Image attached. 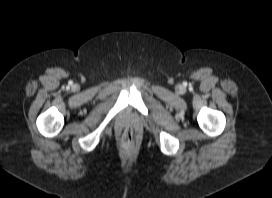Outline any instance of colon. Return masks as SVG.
Returning <instances> with one entry per match:
<instances>
[{
	"label": "colon",
	"mask_w": 272,
	"mask_h": 198,
	"mask_svg": "<svg viewBox=\"0 0 272 198\" xmlns=\"http://www.w3.org/2000/svg\"><path fill=\"white\" fill-rule=\"evenodd\" d=\"M122 144L125 146H129L134 141V132L131 128H126L121 136Z\"/></svg>",
	"instance_id": "obj_1"
}]
</instances>
